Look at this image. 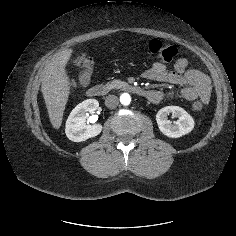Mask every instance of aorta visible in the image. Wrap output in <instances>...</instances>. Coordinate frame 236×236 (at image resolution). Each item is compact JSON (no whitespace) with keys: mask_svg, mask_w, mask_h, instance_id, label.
<instances>
[{"mask_svg":"<svg viewBox=\"0 0 236 236\" xmlns=\"http://www.w3.org/2000/svg\"><path fill=\"white\" fill-rule=\"evenodd\" d=\"M120 102L123 104V105H129L130 102H131V97L128 93H123L121 94L120 96Z\"/></svg>","mask_w":236,"mask_h":236,"instance_id":"aorta-1","label":"aorta"}]
</instances>
